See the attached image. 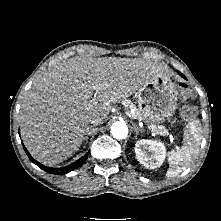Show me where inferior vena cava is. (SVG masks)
Instances as JSON below:
<instances>
[{
    "instance_id": "obj_1",
    "label": "inferior vena cava",
    "mask_w": 221,
    "mask_h": 221,
    "mask_svg": "<svg viewBox=\"0 0 221 221\" xmlns=\"http://www.w3.org/2000/svg\"><path fill=\"white\" fill-rule=\"evenodd\" d=\"M102 119L100 117H93L90 119V123L93 125H100L102 124Z\"/></svg>"
}]
</instances>
